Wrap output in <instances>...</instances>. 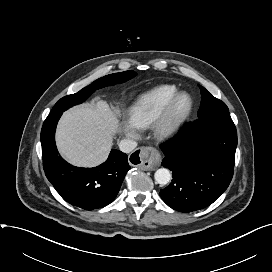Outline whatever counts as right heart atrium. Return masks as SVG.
I'll use <instances>...</instances> for the list:
<instances>
[{
	"instance_id": "d8ad5b80",
	"label": "right heart atrium",
	"mask_w": 272,
	"mask_h": 272,
	"mask_svg": "<svg viewBox=\"0 0 272 272\" xmlns=\"http://www.w3.org/2000/svg\"><path fill=\"white\" fill-rule=\"evenodd\" d=\"M123 132L129 138H137L138 132L136 127L130 121L123 122Z\"/></svg>"
}]
</instances>
